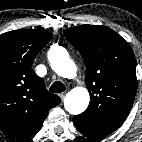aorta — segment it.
<instances>
[{
  "mask_svg": "<svg viewBox=\"0 0 142 142\" xmlns=\"http://www.w3.org/2000/svg\"><path fill=\"white\" fill-rule=\"evenodd\" d=\"M51 68L61 77L72 79L76 76L77 67L70 58L67 50L61 46H52L48 51ZM90 102V95L86 88L76 87L68 92L64 100V107L72 115L84 112Z\"/></svg>",
  "mask_w": 142,
  "mask_h": 142,
  "instance_id": "1",
  "label": "aorta"
}]
</instances>
